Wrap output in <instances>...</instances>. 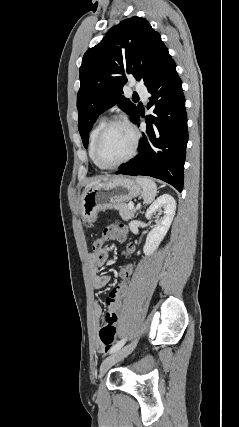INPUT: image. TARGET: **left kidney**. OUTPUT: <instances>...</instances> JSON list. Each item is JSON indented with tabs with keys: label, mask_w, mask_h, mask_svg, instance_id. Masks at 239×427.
Here are the masks:
<instances>
[{
	"label": "left kidney",
	"mask_w": 239,
	"mask_h": 427,
	"mask_svg": "<svg viewBox=\"0 0 239 427\" xmlns=\"http://www.w3.org/2000/svg\"><path fill=\"white\" fill-rule=\"evenodd\" d=\"M176 210V201L169 194H163L147 209L145 217L151 219L153 214L158 212V214L163 213L156 226L149 232L146 238L145 245L143 247V252L145 255L149 256L154 253L158 248L161 241L168 232L170 225L173 221Z\"/></svg>",
	"instance_id": "left-kidney-1"
}]
</instances>
